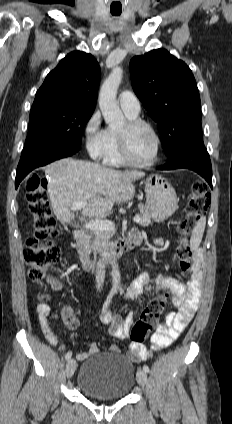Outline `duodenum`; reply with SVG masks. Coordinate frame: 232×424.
<instances>
[{
  "label": "duodenum",
  "mask_w": 232,
  "mask_h": 424,
  "mask_svg": "<svg viewBox=\"0 0 232 424\" xmlns=\"http://www.w3.org/2000/svg\"><path fill=\"white\" fill-rule=\"evenodd\" d=\"M132 232L133 231L123 236L115 243L114 248L112 249V251L110 252L108 256V262H113L119 259L126 251L132 249L133 247L141 243L140 233L138 232L139 234L133 235L131 234ZM73 237L75 240L76 249H77L83 268L86 271L93 270L97 266V263L91 257L90 251L86 243L85 231L81 229H77L74 231Z\"/></svg>",
  "instance_id": "obj_1"
}]
</instances>
